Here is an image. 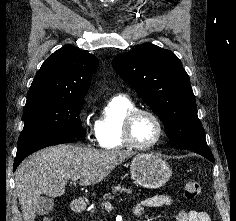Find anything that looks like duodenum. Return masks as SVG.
<instances>
[{
    "instance_id": "duodenum-1",
    "label": "duodenum",
    "mask_w": 236,
    "mask_h": 221,
    "mask_svg": "<svg viewBox=\"0 0 236 221\" xmlns=\"http://www.w3.org/2000/svg\"><path fill=\"white\" fill-rule=\"evenodd\" d=\"M71 208L74 213H82L85 210V205L81 201L75 200L71 204Z\"/></svg>"
}]
</instances>
